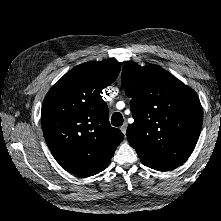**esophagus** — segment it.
<instances>
[{
	"label": "esophagus",
	"mask_w": 221,
	"mask_h": 221,
	"mask_svg": "<svg viewBox=\"0 0 221 221\" xmlns=\"http://www.w3.org/2000/svg\"><path fill=\"white\" fill-rule=\"evenodd\" d=\"M126 129H127V124L124 123V124L121 126V128H120L121 132H122L124 135H126Z\"/></svg>",
	"instance_id": "esophagus-1"
}]
</instances>
